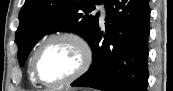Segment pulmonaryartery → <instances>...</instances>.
<instances>
[{"label":"pulmonary artery","instance_id":"e3ab8cb5","mask_svg":"<svg viewBox=\"0 0 173 91\" xmlns=\"http://www.w3.org/2000/svg\"><path fill=\"white\" fill-rule=\"evenodd\" d=\"M99 12L101 14V19H102V22H104V19H105V10L102 8V7H99Z\"/></svg>","mask_w":173,"mask_h":91}]
</instances>
